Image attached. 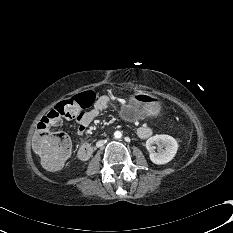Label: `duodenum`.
Instances as JSON below:
<instances>
[{
	"mask_svg": "<svg viewBox=\"0 0 233 233\" xmlns=\"http://www.w3.org/2000/svg\"><path fill=\"white\" fill-rule=\"evenodd\" d=\"M94 151V147L91 144L85 143L81 145L78 151V156L81 160L87 161Z\"/></svg>",
	"mask_w": 233,
	"mask_h": 233,
	"instance_id": "duodenum-1",
	"label": "duodenum"
}]
</instances>
